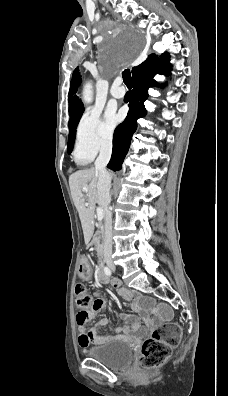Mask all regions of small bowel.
Listing matches in <instances>:
<instances>
[{
	"label": "small bowel",
	"instance_id": "small-bowel-1",
	"mask_svg": "<svg viewBox=\"0 0 228 396\" xmlns=\"http://www.w3.org/2000/svg\"><path fill=\"white\" fill-rule=\"evenodd\" d=\"M80 273L84 277H89L91 274L90 264L85 258L81 261ZM105 277L106 281L102 283L109 282L108 277L106 275ZM111 284L115 288L118 296L130 302L132 309L145 322V327L141 325L140 320L136 316L123 313L121 314V318L128 322V326L117 327L115 330L117 335H100L99 329L109 324L107 318H102L94 323L90 329L79 327L78 342L83 349H86L90 344H100L110 340L124 339L130 335H142L154 326L157 319H162L169 315V311L165 307H156L151 299L128 291L122 286L119 280L114 279L111 281ZM105 307V298L97 295L90 311V318L95 317L100 311L105 309Z\"/></svg>",
	"mask_w": 228,
	"mask_h": 396
}]
</instances>
